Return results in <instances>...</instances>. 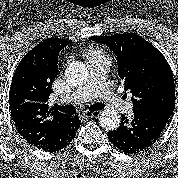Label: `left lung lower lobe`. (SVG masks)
Masks as SVG:
<instances>
[{
	"mask_svg": "<svg viewBox=\"0 0 178 178\" xmlns=\"http://www.w3.org/2000/svg\"><path fill=\"white\" fill-rule=\"evenodd\" d=\"M172 113L148 110L134 113L131 118L122 115L117 130L108 132V139L125 153H138L159 138Z\"/></svg>",
	"mask_w": 178,
	"mask_h": 178,
	"instance_id": "0a47b994",
	"label": "left lung lower lobe"
}]
</instances>
